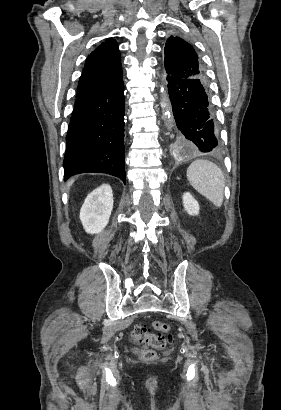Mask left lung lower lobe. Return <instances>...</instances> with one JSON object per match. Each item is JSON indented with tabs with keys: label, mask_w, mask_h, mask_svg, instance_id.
Returning a JSON list of instances; mask_svg holds the SVG:
<instances>
[{
	"label": "left lung lower lobe",
	"mask_w": 281,
	"mask_h": 410,
	"mask_svg": "<svg viewBox=\"0 0 281 410\" xmlns=\"http://www.w3.org/2000/svg\"><path fill=\"white\" fill-rule=\"evenodd\" d=\"M166 80L181 144L200 152L217 151L220 142L205 80L169 75Z\"/></svg>",
	"instance_id": "obj_1"
}]
</instances>
